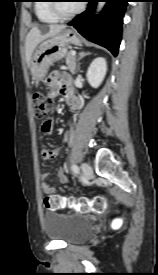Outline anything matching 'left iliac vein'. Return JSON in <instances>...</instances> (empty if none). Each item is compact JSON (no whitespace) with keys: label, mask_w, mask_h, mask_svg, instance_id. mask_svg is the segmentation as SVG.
Segmentation results:
<instances>
[{"label":"left iliac vein","mask_w":158,"mask_h":275,"mask_svg":"<svg viewBox=\"0 0 158 275\" xmlns=\"http://www.w3.org/2000/svg\"><path fill=\"white\" fill-rule=\"evenodd\" d=\"M81 170L85 176L86 179H90L91 175H92V168L88 163H82L81 164Z\"/></svg>","instance_id":"4c4485c4"}]
</instances>
